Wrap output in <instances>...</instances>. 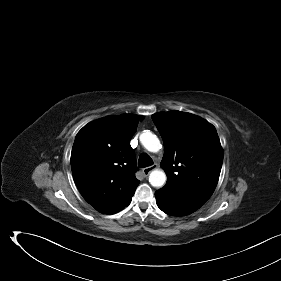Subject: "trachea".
<instances>
[{"instance_id":"1","label":"trachea","mask_w":281,"mask_h":281,"mask_svg":"<svg viewBox=\"0 0 281 281\" xmlns=\"http://www.w3.org/2000/svg\"><path fill=\"white\" fill-rule=\"evenodd\" d=\"M152 164H153V160L148 154L143 153L140 155L138 160V165L140 168H145L151 166Z\"/></svg>"}]
</instances>
